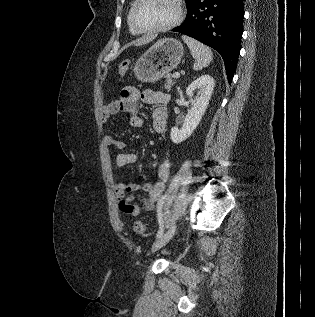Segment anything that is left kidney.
I'll list each match as a JSON object with an SVG mask.
<instances>
[{
	"instance_id": "left-kidney-1",
	"label": "left kidney",
	"mask_w": 315,
	"mask_h": 317,
	"mask_svg": "<svg viewBox=\"0 0 315 317\" xmlns=\"http://www.w3.org/2000/svg\"><path fill=\"white\" fill-rule=\"evenodd\" d=\"M215 82L210 75H202L193 81L186 89V94L191 98V109L185 116L181 129L173 127L170 138L175 144L186 140L199 125L211 98ZM196 93V98H192Z\"/></svg>"
}]
</instances>
